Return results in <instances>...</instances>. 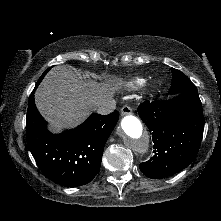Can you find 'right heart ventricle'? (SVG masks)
Instances as JSON below:
<instances>
[{
	"mask_svg": "<svg viewBox=\"0 0 221 221\" xmlns=\"http://www.w3.org/2000/svg\"><path fill=\"white\" fill-rule=\"evenodd\" d=\"M137 83H138V84H141V83H142V81H141V80H138V81H137Z\"/></svg>",
	"mask_w": 221,
	"mask_h": 221,
	"instance_id": "obj_1",
	"label": "right heart ventricle"
}]
</instances>
